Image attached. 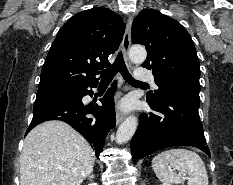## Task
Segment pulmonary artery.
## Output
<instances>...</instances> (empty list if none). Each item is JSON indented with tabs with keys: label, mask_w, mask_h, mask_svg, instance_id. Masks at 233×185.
Wrapping results in <instances>:
<instances>
[{
	"label": "pulmonary artery",
	"mask_w": 233,
	"mask_h": 185,
	"mask_svg": "<svg viewBox=\"0 0 233 185\" xmlns=\"http://www.w3.org/2000/svg\"><path fill=\"white\" fill-rule=\"evenodd\" d=\"M136 78L142 82H149L155 85L154 76L146 69L139 68L136 70Z\"/></svg>",
	"instance_id": "pulmonary-artery-1"
}]
</instances>
